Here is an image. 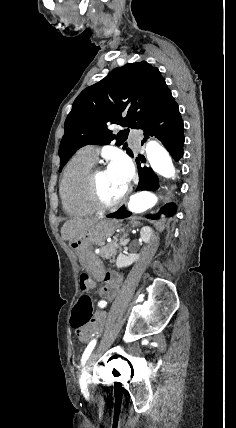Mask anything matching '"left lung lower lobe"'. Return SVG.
I'll return each mask as SVG.
<instances>
[{"label":"left lung lower lobe","mask_w":236,"mask_h":428,"mask_svg":"<svg viewBox=\"0 0 236 428\" xmlns=\"http://www.w3.org/2000/svg\"><path fill=\"white\" fill-rule=\"evenodd\" d=\"M142 130H144L142 143L146 141L148 135H155L170 152L174 160L178 161L182 157L185 140L184 127L179 107L175 100L171 101L157 117L144 125ZM138 172L140 179L136 191H155L159 188L158 177L152 169L143 167L139 168ZM161 212H164L167 216H172L176 212V206L174 204H166L161 209ZM130 215L131 212L122 206L118 211L107 215V217L123 219ZM146 217L157 219L158 215Z\"/></svg>","instance_id":"0a47b994"}]
</instances>
